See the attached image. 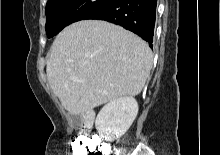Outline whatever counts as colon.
Masks as SVG:
<instances>
[{
  "mask_svg": "<svg viewBox=\"0 0 220 155\" xmlns=\"http://www.w3.org/2000/svg\"><path fill=\"white\" fill-rule=\"evenodd\" d=\"M74 152L73 155H106L109 153V147L102 143L83 139L81 137L73 140Z\"/></svg>",
  "mask_w": 220,
  "mask_h": 155,
  "instance_id": "obj_1",
  "label": "colon"
}]
</instances>
